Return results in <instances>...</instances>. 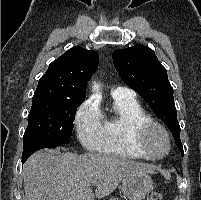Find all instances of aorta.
<instances>
[{"label": "aorta", "instance_id": "762f6f07", "mask_svg": "<svg viewBox=\"0 0 201 200\" xmlns=\"http://www.w3.org/2000/svg\"><path fill=\"white\" fill-rule=\"evenodd\" d=\"M98 87H99V86H98L97 84H95V85L93 86V89L96 90V89H98Z\"/></svg>", "mask_w": 201, "mask_h": 200}]
</instances>
